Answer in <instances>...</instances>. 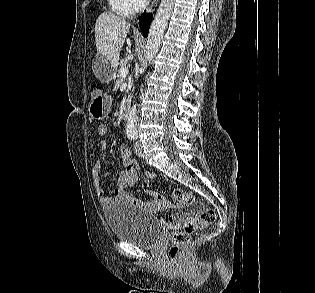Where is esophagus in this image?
<instances>
[{"label":"esophagus","instance_id":"34e87169","mask_svg":"<svg viewBox=\"0 0 315 293\" xmlns=\"http://www.w3.org/2000/svg\"><path fill=\"white\" fill-rule=\"evenodd\" d=\"M158 3H159V0H154L151 7L148 10V12L152 13L155 10V8L157 7Z\"/></svg>","mask_w":315,"mask_h":293}]
</instances>
